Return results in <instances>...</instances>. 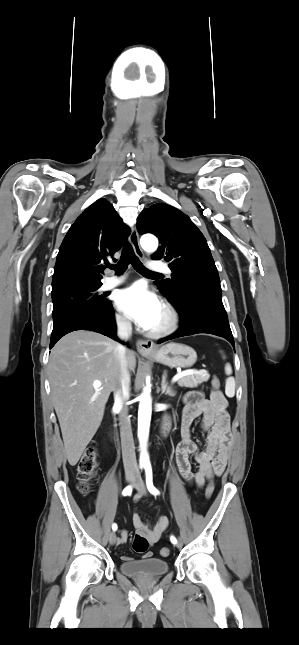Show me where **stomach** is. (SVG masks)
Instances as JSON below:
<instances>
[{"label":"stomach","instance_id":"1","mask_svg":"<svg viewBox=\"0 0 299 645\" xmlns=\"http://www.w3.org/2000/svg\"><path fill=\"white\" fill-rule=\"evenodd\" d=\"M146 357L169 367L180 368H189L193 366L197 360L195 350L190 346L180 343L166 344L156 353Z\"/></svg>","mask_w":299,"mask_h":645}]
</instances>
